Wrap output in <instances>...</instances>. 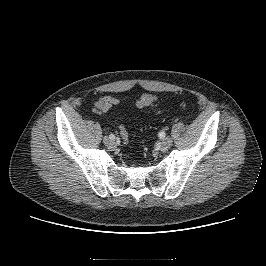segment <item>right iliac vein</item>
Listing matches in <instances>:
<instances>
[{"instance_id":"63e3f726","label":"right iliac vein","mask_w":266,"mask_h":266,"mask_svg":"<svg viewBox=\"0 0 266 266\" xmlns=\"http://www.w3.org/2000/svg\"><path fill=\"white\" fill-rule=\"evenodd\" d=\"M104 143L107 147L113 148L115 146V142L112 139H109L108 137L104 138Z\"/></svg>"}]
</instances>
